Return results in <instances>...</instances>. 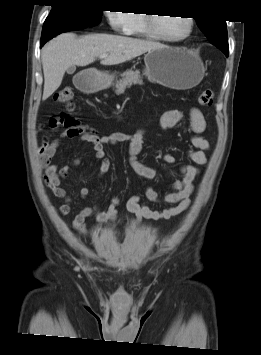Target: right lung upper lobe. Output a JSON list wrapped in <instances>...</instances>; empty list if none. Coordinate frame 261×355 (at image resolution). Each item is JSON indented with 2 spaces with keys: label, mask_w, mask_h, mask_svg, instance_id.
<instances>
[{
  "label": "right lung upper lobe",
  "mask_w": 261,
  "mask_h": 355,
  "mask_svg": "<svg viewBox=\"0 0 261 355\" xmlns=\"http://www.w3.org/2000/svg\"><path fill=\"white\" fill-rule=\"evenodd\" d=\"M52 3H57V2H60V1H64V0H51Z\"/></svg>",
  "instance_id": "cb5924a9"
}]
</instances>
